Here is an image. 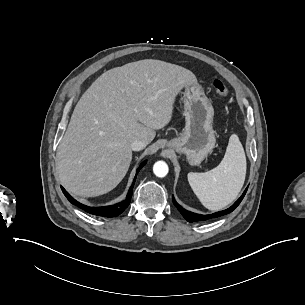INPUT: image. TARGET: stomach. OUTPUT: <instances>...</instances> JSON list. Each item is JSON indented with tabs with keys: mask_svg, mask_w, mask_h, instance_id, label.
<instances>
[{
	"mask_svg": "<svg viewBox=\"0 0 305 305\" xmlns=\"http://www.w3.org/2000/svg\"><path fill=\"white\" fill-rule=\"evenodd\" d=\"M183 103L185 129L169 146L185 154L190 165H199L215 147L214 108L199 84L185 86Z\"/></svg>",
	"mask_w": 305,
	"mask_h": 305,
	"instance_id": "obj_1",
	"label": "stomach"
}]
</instances>
